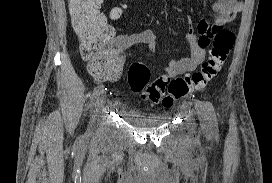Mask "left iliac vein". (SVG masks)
Instances as JSON below:
<instances>
[{
  "label": "left iliac vein",
  "instance_id": "left-iliac-vein-1",
  "mask_svg": "<svg viewBox=\"0 0 272 183\" xmlns=\"http://www.w3.org/2000/svg\"><path fill=\"white\" fill-rule=\"evenodd\" d=\"M196 111L198 114V117L201 121V126L204 130H208L209 129V124H208V114L205 108V105L203 102L198 101L196 103Z\"/></svg>",
  "mask_w": 272,
  "mask_h": 183
}]
</instances>
